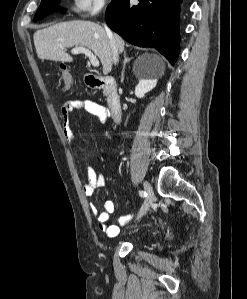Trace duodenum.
Listing matches in <instances>:
<instances>
[{"mask_svg": "<svg viewBox=\"0 0 247 299\" xmlns=\"http://www.w3.org/2000/svg\"><path fill=\"white\" fill-rule=\"evenodd\" d=\"M85 82L90 88L101 89L105 92L111 117L115 122H118L121 118L122 108L115 80L111 77L87 74L85 77Z\"/></svg>", "mask_w": 247, "mask_h": 299, "instance_id": "410a0bca", "label": "duodenum"}]
</instances>
